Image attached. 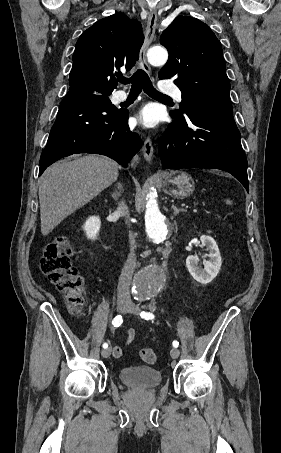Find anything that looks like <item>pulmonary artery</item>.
I'll return each mask as SVG.
<instances>
[{"mask_svg": "<svg viewBox=\"0 0 281 453\" xmlns=\"http://www.w3.org/2000/svg\"><path fill=\"white\" fill-rule=\"evenodd\" d=\"M169 94L176 99L177 101H181L182 99V92L178 89L170 91ZM128 95L124 90L115 91L111 96V101L113 103H121L127 99Z\"/></svg>", "mask_w": 281, "mask_h": 453, "instance_id": "e3ab8cb5", "label": "pulmonary artery"}]
</instances>
